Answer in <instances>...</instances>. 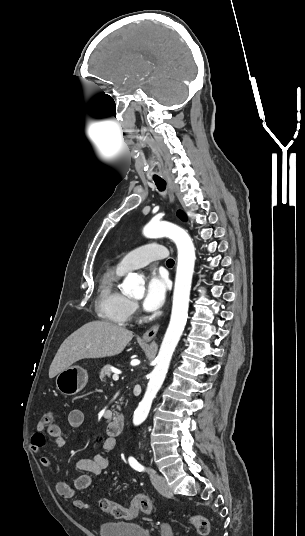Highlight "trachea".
Instances as JSON below:
<instances>
[{"mask_svg": "<svg viewBox=\"0 0 305 536\" xmlns=\"http://www.w3.org/2000/svg\"><path fill=\"white\" fill-rule=\"evenodd\" d=\"M153 180H154V182H155V184H156V186H157L159 191H165V189H166V181L165 180H163L160 177H154ZM174 263L175 262H174V260H172V258H169V260H167V262H166V264H167V266L169 268H172Z\"/></svg>", "mask_w": 305, "mask_h": 536, "instance_id": "3493384b", "label": "trachea"}]
</instances>
